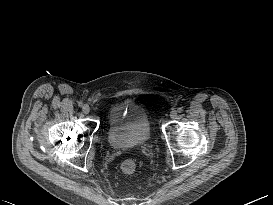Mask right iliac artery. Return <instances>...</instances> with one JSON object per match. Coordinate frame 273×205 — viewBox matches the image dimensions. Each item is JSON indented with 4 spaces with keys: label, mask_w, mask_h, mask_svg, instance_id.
<instances>
[{
    "label": "right iliac artery",
    "mask_w": 273,
    "mask_h": 205,
    "mask_svg": "<svg viewBox=\"0 0 273 205\" xmlns=\"http://www.w3.org/2000/svg\"><path fill=\"white\" fill-rule=\"evenodd\" d=\"M78 106L79 107H82L83 106V103L81 101L78 102Z\"/></svg>",
    "instance_id": "obj_1"
}]
</instances>
